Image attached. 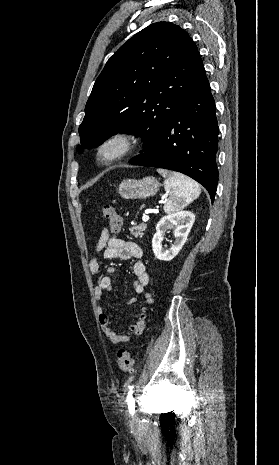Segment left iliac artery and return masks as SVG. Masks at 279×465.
<instances>
[{
    "label": "left iliac artery",
    "instance_id": "1",
    "mask_svg": "<svg viewBox=\"0 0 279 465\" xmlns=\"http://www.w3.org/2000/svg\"><path fill=\"white\" fill-rule=\"evenodd\" d=\"M126 401L128 403L129 412L131 415H133L135 411V403L133 399V386L129 388Z\"/></svg>",
    "mask_w": 279,
    "mask_h": 465
}]
</instances>
